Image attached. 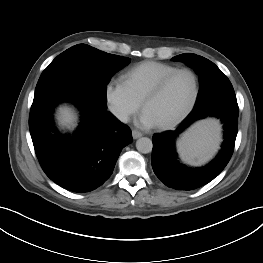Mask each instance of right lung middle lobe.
I'll return each mask as SVG.
<instances>
[{
    "mask_svg": "<svg viewBox=\"0 0 263 263\" xmlns=\"http://www.w3.org/2000/svg\"><path fill=\"white\" fill-rule=\"evenodd\" d=\"M129 63V58L108 54L86 44L58 55L41 74L34 100L64 90H78L101 105L107 104L110 78Z\"/></svg>",
    "mask_w": 263,
    "mask_h": 263,
    "instance_id": "right-lung-middle-lobe-1",
    "label": "right lung middle lobe"
}]
</instances>
